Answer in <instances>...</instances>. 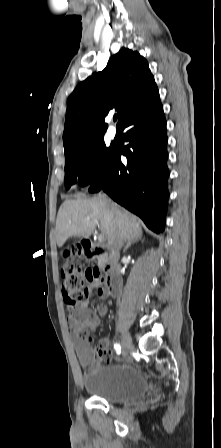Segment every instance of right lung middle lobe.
Wrapping results in <instances>:
<instances>
[{"label": "right lung middle lobe", "instance_id": "1", "mask_svg": "<svg viewBox=\"0 0 221 448\" xmlns=\"http://www.w3.org/2000/svg\"><path fill=\"white\" fill-rule=\"evenodd\" d=\"M114 150V145L106 147L103 137L89 143L79 153L65 158V187L78 182L84 186L92 183L104 172L107 162ZM93 167H90V164Z\"/></svg>", "mask_w": 221, "mask_h": 448}]
</instances>
